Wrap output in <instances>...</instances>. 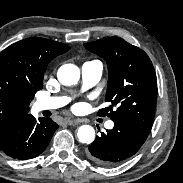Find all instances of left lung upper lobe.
I'll use <instances>...</instances> for the list:
<instances>
[{
    "label": "left lung upper lobe",
    "instance_id": "obj_1",
    "mask_svg": "<svg viewBox=\"0 0 183 183\" xmlns=\"http://www.w3.org/2000/svg\"><path fill=\"white\" fill-rule=\"evenodd\" d=\"M84 46L102 57L108 65L105 101L110 106L98 116L111 120H130L152 128L157 99V79L148 55L122 38L110 37Z\"/></svg>",
    "mask_w": 183,
    "mask_h": 183
}]
</instances>
